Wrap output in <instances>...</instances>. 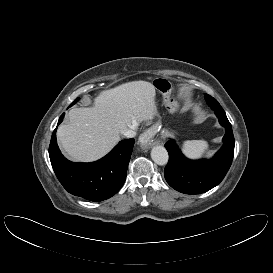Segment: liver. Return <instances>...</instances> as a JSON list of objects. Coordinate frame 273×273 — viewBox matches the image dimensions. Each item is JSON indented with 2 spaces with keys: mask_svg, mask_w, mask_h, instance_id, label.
Wrapping results in <instances>:
<instances>
[{
  "mask_svg": "<svg viewBox=\"0 0 273 273\" xmlns=\"http://www.w3.org/2000/svg\"><path fill=\"white\" fill-rule=\"evenodd\" d=\"M155 87L132 81L102 91L90 108H74L68 123L58 127L57 138L74 161L92 162L105 156L126 129L157 115Z\"/></svg>",
  "mask_w": 273,
  "mask_h": 273,
  "instance_id": "liver-1",
  "label": "liver"
}]
</instances>
